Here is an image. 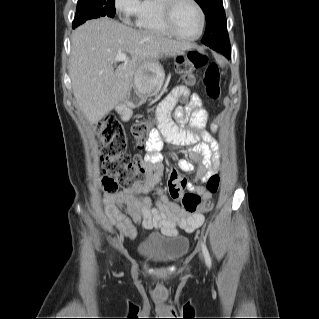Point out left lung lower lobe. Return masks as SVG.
<instances>
[{
  "label": "left lung lower lobe",
  "instance_id": "0a47b994",
  "mask_svg": "<svg viewBox=\"0 0 319 319\" xmlns=\"http://www.w3.org/2000/svg\"><path fill=\"white\" fill-rule=\"evenodd\" d=\"M222 54L225 55L227 58H230V55H231V50H230V48L224 49V50L222 51Z\"/></svg>",
  "mask_w": 319,
  "mask_h": 319
}]
</instances>
